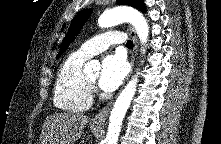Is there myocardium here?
Instances as JSON below:
<instances>
[{
	"mask_svg": "<svg viewBox=\"0 0 221 144\" xmlns=\"http://www.w3.org/2000/svg\"><path fill=\"white\" fill-rule=\"evenodd\" d=\"M87 80H88V83H89L90 85L93 83L92 80H90V79H88V78H87Z\"/></svg>",
	"mask_w": 221,
	"mask_h": 144,
	"instance_id": "f54148a6",
	"label": "myocardium"
}]
</instances>
